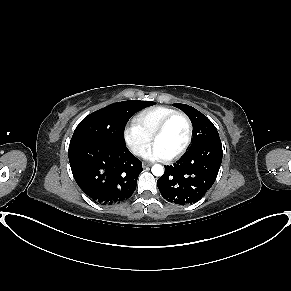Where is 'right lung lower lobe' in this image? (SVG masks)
Wrapping results in <instances>:
<instances>
[{
    "label": "right lung lower lobe",
    "mask_w": 291,
    "mask_h": 291,
    "mask_svg": "<svg viewBox=\"0 0 291 291\" xmlns=\"http://www.w3.org/2000/svg\"><path fill=\"white\" fill-rule=\"evenodd\" d=\"M68 157L78 186L102 205L127 200L143 171L141 161L121 145L79 142L69 146Z\"/></svg>",
    "instance_id": "right-lung-lower-lobe-1"
}]
</instances>
